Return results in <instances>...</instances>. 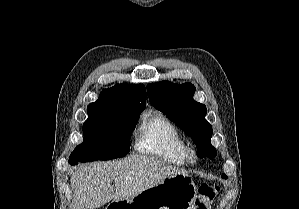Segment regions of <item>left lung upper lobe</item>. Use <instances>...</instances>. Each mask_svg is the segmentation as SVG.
<instances>
[{"instance_id":"obj_1","label":"left lung upper lobe","mask_w":299,"mask_h":209,"mask_svg":"<svg viewBox=\"0 0 299 209\" xmlns=\"http://www.w3.org/2000/svg\"><path fill=\"white\" fill-rule=\"evenodd\" d=\"M195 87L191 83L174 84L162 81L147 85L150 103L178 125L197 145L198 156L213 158L212 126L205 120L206 106L193 99Z\"/></svg>"}]
</instances>
